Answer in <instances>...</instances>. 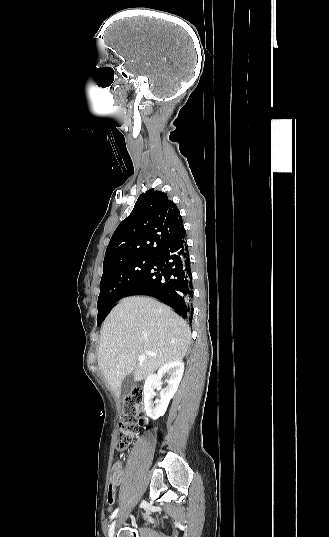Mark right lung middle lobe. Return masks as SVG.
<instances>
[{
	"label": "right lung middle lobe",
	"instance_id": "1",
	"mask_svg": "<svg viewBox=\"0 0 329 537\" xmlns=\"http://www.w3.org/2000/svg\"><path fill=\"white\" fill-rule=\"evenodd\" d=\"M152 262V257L139 258L104 269L97 302V325H100L111 307L137 283Z\"/></svg>",
	"mask_w": 329,
	"mask_h": 537
}]
</instances>
